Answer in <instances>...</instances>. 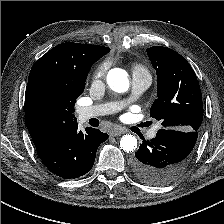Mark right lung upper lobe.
I'll return each instance as SVG.
<instances>
[{"label":"right lung upper lobe","mask_w":224,"mask_h":224,"mask_svg":"<svg viewBox=\"0 0 224 224\" xmlns=\"http://www.w3.org/2000/svg\"><path fill=\"white\" fill-rule=\"evenodd\" d=\"M110 51L108 47L80 43H62L44 54L32 67L28 84L44 75H55L68 80H76L89 72L91 66ZM27 84V85H28ZM25 121L33 143L63 124L77 122L75 117L67 116L62 120L40 124L25 114Z\"/></svg>","instance_id":"1"}]
</instances>
